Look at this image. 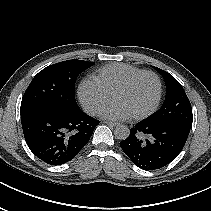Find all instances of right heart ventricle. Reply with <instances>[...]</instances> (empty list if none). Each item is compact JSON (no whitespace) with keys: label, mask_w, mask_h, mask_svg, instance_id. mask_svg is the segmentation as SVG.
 Returning a JSON list of instances; mask_svg holds the SVG:
<instances>
[{"label":"right heart ventricle","mask_w":211,"mask_h":211,"mask_svg":"<svg viewBox=\"0 0 211 211\" xmlns=\"http://www.w3.org/2000/svg\"><path fill=\"white\" fill-rule=\"evenodd\" d=\"M144 71L145 70L135 66L114 63L99 69L94 78L112 95V93L129 78Z\"/></svg>","instance_id":"e07e8e85"}]
</instances>
